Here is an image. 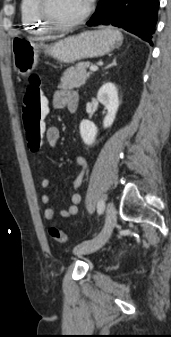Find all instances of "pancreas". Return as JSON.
I'll return each mask as SVG.
<instances>
[{
  "mask_svg": "<svg viewBox=\"0 0 171 337\" xmlns=\"http://www.w3.org/2000/svg\"><path fill=\"white\" fill-rule=\"evenodd\" d=\"M90 65V62H84L66 69L58 87L71 90L83 86L91 74L86 71Z\"/></svg>",
  "mask_w": 171,
  "mask_h": 337,
  "instance_id": "pancreas-1",
  "label": "pancreas"
}]
</instances>
